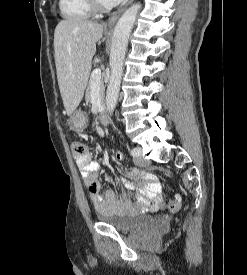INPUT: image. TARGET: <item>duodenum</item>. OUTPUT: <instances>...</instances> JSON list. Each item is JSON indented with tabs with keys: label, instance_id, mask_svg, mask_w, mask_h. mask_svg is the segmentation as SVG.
<instances>
[{
	"label": "duodenum",
	"instance_id": "obj_1",
	"mask_svg": "<svg viewBox=\"0 0 247 275\" xmlns=\"http://www.w3.org/2000/svg\"><path fill=\"white\" fill-rule=\"evenodd\" d=\"M98 119H99L100 125H102V126L107 125L109 123V116H108L107 111L106 110H102L99 113Z\"/></svg>",
	"mask_w": 247,
	"mask_h": 275
}]
</instances>
